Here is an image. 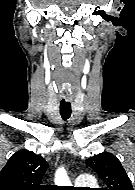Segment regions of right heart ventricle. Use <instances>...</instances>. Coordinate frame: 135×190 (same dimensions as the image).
<instances>
[{"instance_id":"obj_1","label":"right heart ventricle","mask_w":135,"mask_h":190,"mask_svg":"<svg viewBox=\"0 0 135 190\" xmlns=\"http://www.w3.org/2000/svg\"><path fill=\"white\" fill-rule=\"evenodd\" d=\"M89 185H91V186H95V185H96V183L92 181V183H91V184H89Z\"/></svg>"}]
</instances>
